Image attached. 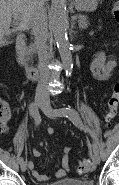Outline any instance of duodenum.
<instances>
[{"label": "duodenum", "instance_id": "obj_1", "mask_svg": "<svg viewBox=\"0 0 119 185\" xmlns=\"http://www.w3.org/2000/svg\"><path fill=\"white\" fill-rule=\"evenodd\" d=\"M15 52H16L17 62L20 66L23 67L27 78L29 80L38 79L39 70L28 63L27 50H26V38L24 35H19L17 37Z\"/></svg>", "mask_w": 119, "mask_h": 185}]
</instances>
